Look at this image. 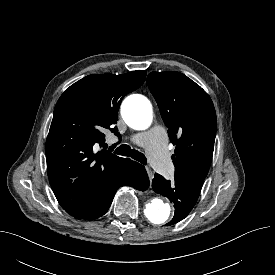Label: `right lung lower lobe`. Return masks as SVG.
Returning <instances> with one entry per match:
<instances>
[{
  "label": "right lung lower lobe",
  "mask_w": 275,
  "mask_h": 275,
  "mask_svg": "<svg viewBox=\"0 0 275 275\" xmlns=\"http://www.w3.org/2000/svg\"><path fill=\"white\" fill-rule=\"evenodd\" d=\"M124 185L145 191L149 187V179L145 167L127 158L125 167L118 174L108 192L96 202L91 210L77 218L93 220L103 216L108 211L117 189Z\"/></svg>",
  "instance_id": "right-lung-lower-lobe-1"
}]
</instances>
